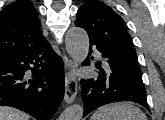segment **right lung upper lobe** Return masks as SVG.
I'll return each instance as SVG.
<instances>
[{
  "instance_id": "obj_1",
  "label": "right lung upper lobe",
  "mask_w": 165,
  "mask_h": 120,
  "mask_svg": "<svg viewBox=\"0 0 165 120\" xmlns=\"http://www.w3.org/2000/svg\"><path fill=\"white\" fill-rule=\"evenodd\" d=\"M46 41L36 8L30 0H17L0 12V58Z\"/></svg>"
}]
</instances>
